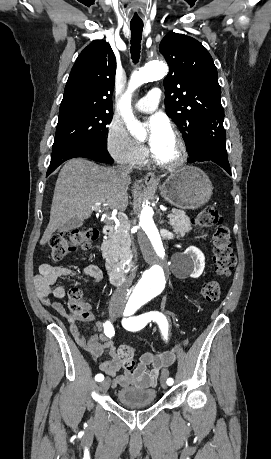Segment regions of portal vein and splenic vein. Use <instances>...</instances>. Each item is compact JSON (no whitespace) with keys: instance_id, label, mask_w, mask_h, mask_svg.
Listing matches in <instances>:
<instances>
[{"instance_id":"portal-vein-and-splenic-vein-1","label":"portal vein and splenic vein","mask_w":271,"mask_h":459,"mask_svg":"<svg viewBox=\"0 0 271 459\" xmlns=\"http://www.w3.org/2000/svg\"><path fill=\"white\" fill-rule=\"evenodd\" d=\"M92 210H97V208H92ZM170 217H174V214H170V215L167 214V217H166V218H167V219H170Z\"/></svg>"}]
</instances>
